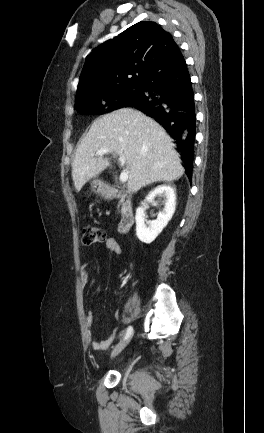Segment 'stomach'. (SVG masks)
<instances>
[{"label": "stomach", "mask_w": 264, "mask_h": 433, "mask_svg": "<svg viewBox=\"0 0 264 433\" xmlns=\"http://www.w3.org/2000/svg\"><path fill=\"white\" fill-rule=\"evenodd\" d=\"M91 190L95 194H102L105 191V184L99 180H93L91 182Z\"/></svg>", "instance_id": "obj_1"}]
</instances>
